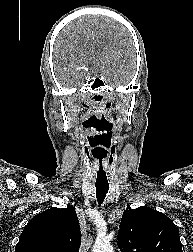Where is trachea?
Instances as JSON below:
<instances>
[{"label":"trachea","instance_id":"obj_1","mask_svg":"<svg viewBox=\"0 0 193 252\" xmlns=\"http://www.w3.org/2000/svg\"><path fill=\"white\" fill-rule=\"evenodd\" d=\"M96 187V197L99 205H101L106 197L109 190V184H95Z\"/></svg>","mask_w":193,"mask_h":252}]
</instances>
